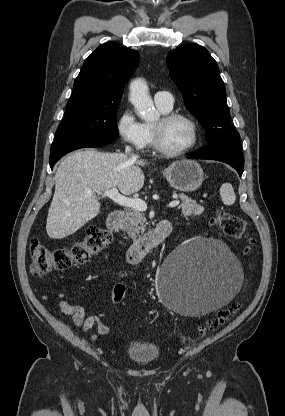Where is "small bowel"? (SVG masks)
Listing matches in <instances>:
<instances>
[{
	"mask_svg": "<svg viewBox=\"0 0 285 416\" xmlns=\"http://www.w3.org/2000/svg\"><path fill=\"white\" fill-rule=\"evenodd\" d=\"M59 308L61 311L72 316L73 326L81 330L85 334L89 329L96 328L98 335L105 336L109 333L110 328L102 321L104 314L86 315L83 307L69 304L65 300L59 301ZM97 335H92L91 339H96Z\"/></svg>",
	"mask_w": 285,
	"mask_h": 416,
	"instance_id": "obj_1",
	"label": "small bowel"
}]
</instances>
